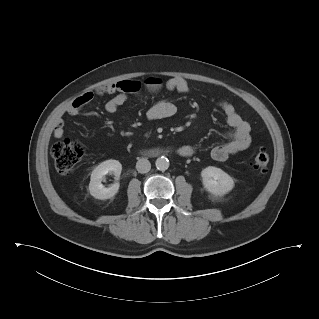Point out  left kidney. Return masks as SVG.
I'll use <instances>...</instances> for the list:
<instances>
[{
	"label": "left kidney",
	"instance_id": "obj_1",
	"mask_svg": "<svg viewBox=\"0 0 319 319\" xmlns=\"http://www.w3.org/2000/svg\"><path fill=\"white\" fill-rule=\"evenodd\" d=\"M205 189L214 195H224L234 187V181L227 173L217 167L208 166L201 172Z\"/></svg>",
	"mask_w": 319,
	"mask_h": 319
}]
</instances>
